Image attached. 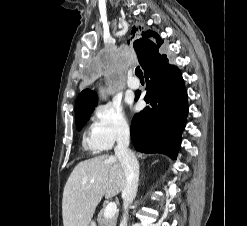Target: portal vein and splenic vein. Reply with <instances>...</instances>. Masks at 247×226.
Returning a JSON list of instances; mask_svg holds the SVG:
<instances>
[{
    "label": "portal vein and splenic vein",
    "instance_id": "portal-vein-and-splenic-vein-1",
    "mask_svg": "<svg viewBox=\"0 0 247 226\" xmlns=\"http://www.w3.org/2000/svg\"><path fill=\"white\" fill-rule=\"evenodd\" d=\"M117 212V205L114 202H110L104 211V216L105 218H111L112 216H114Z\"/></svg>",
    "mask_w": 247,
    "mask_h": 226
}]
</instances>
